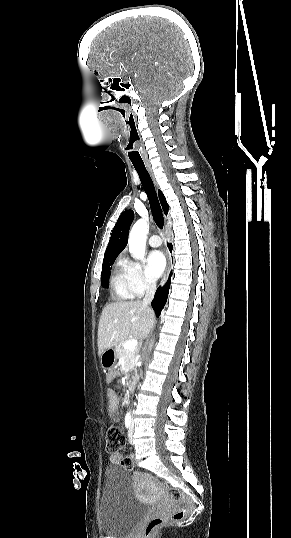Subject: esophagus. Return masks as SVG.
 Masks as SVG:
<instances>
[{"label":"esophagus","mask_w":291,"mask_h":538,"mask_svg":"<svg viewBox=\"0 0 291 538\" xmlns=\"http://www.w3.org/2000/svg\"><path fill=\"white\" fill-rule=\"evenodd\" d=\"M147 169H148V171H149V173H150V175H151V178H152L153 182L156 184L155 177H154V174H153V172H152V169H151L150 165H147ZM169 269H170V255H169V253H167V269H166V274H165L163 283H164L165 280H166V277H167V275H168Z\"/></svg>","instance_id":"1"}]
</instances>
